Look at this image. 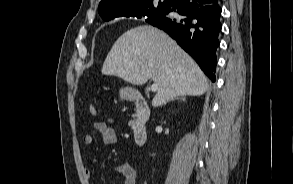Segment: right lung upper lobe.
<instances>
[{
	"label": "right lung upper lobe",
	"instance_id": "obj_1",
	"mask_svg": "<svg viewBox=\"0 0 293 184\" xmlns=\"http://www.w3.org/2000/svg\"><path fill=\"white\" fill-rule=\"evenodd\" d=\"M169 1H159L157 8H154L153 0H102L99 4L98 12L105 21L122 16L135 17L136 14L150 9H158L164 12Z\"/></svg>",
	"mask_w": 293,
	"mask_h": 184
}]
</instances>
